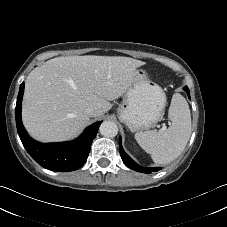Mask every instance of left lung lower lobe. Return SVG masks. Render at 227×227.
<instances>
[{
  "mask_svg": "<svg viewBox=\"0 0 227 227\" xmlns=\"http://www.w3.org/2000/svg\"><path fill=\"white\" fill-rule=\"evenodd\" d=\"M183 89L187 93L188 97L190 98V92H189L188 87L185 86ZM119 152H120V155H121V158H122L124 164L132 170L142 172V173H150L152 171L159 170V168H145V167L139 166L137 163H135L123 150L121 138L119 139Z\"/></svg>",
  "mask_w": 227,
  "mask_h": 227,
  "instance_id": "left-lung-lower-lobe-1",
  "label": "left lung lower lobe"
}]
</instances>
